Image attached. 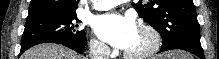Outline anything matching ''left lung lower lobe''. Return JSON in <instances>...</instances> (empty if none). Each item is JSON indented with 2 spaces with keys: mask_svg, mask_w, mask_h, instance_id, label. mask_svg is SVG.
<instances>
[{
  "mask_svg": "<svg viewBox=\"0 0 219 59\" xmlns=\"http://www.w3.org/2000/svg\"><path fill=\"white\" fill-rule=\"evenodd\" d=\"M175 49L185 50L198 56L200 59H205L204 52L200 44V34H185L171 41L167 45H163L159 53Z\"/></svg>",
  "mask_w": 219,
  "mask_h": 59,
  "instance_id": "left-lung-lower-lobe-1",
  "label": "left lung lower lobe"
}]
</instances>
